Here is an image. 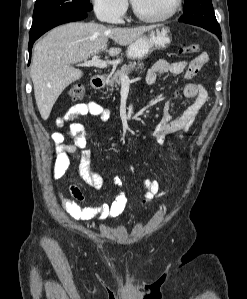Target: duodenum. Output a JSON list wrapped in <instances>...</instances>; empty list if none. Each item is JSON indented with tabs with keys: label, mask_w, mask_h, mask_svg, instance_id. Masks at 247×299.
<instances>
[{
	"label": "duodenum",
	"mask_w": 247,
	"mask_h": 299,
	"mask_svg": "<svg viewBox=\"0 0 247 299\" xmlns=\"http://www.w3.org/2000/svg\"><path fill=\"white\" fill-rule=\"evenodd\" d=\"M106 82V76L104 74L95 75L91 80V86L94 89H101Z\"/></svg>",
	"instance_id": "obj_1"
}]
</instances>
